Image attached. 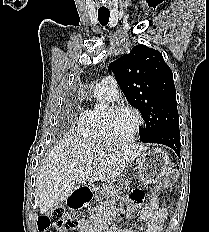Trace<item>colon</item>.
Returning <instances> with one entry per match:
<instances>
[{
    "label": "colon",
    "instance_id": "1",
    "mask_svg": "<svg viewBox=\"0 0 209 232\" xmlns=\"http://www.w3.org/2000/svg\"><path fill=\"white\" fill-rule=\"evenodd\" d=\"M79 225V220L69 215L62 207L53 208L37 220V227L41 232H49L51 226L61 232H76Z\"/></svg>",
    "mask_w": 209,
    "mask_h": 232
}]
</instances>
